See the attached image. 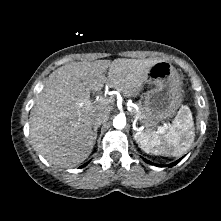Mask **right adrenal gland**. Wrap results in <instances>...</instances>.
Instances as JSON below:
<instances>
[{"label":"right adrenal gland","instance_id":"obj_1","mask_svg":"<svg viewBox=\"0 0 221 221\" xmlns=\"http://www.w3.org/2000/svg\"><path fill=\"white\" fill-rule=\"evenodd\" d=\"M99 127H100V125H96V126L94 127V141H95L96 138H97V130H98Z\"/></svg>","mask_w":221,"mask_h":221}]
</instances>
